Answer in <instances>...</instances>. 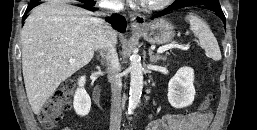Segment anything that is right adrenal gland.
Instances as JSON below:
<instances>
[{
  "label": "right adrenal gland",
  "mask_w": 257,
  "mask_h": 130,
  "mask_svg": "<svg viewBox=\"0 0 257 130\" xmlns=\"http://www.w3.org/2000/svg\"><path fill=\"white\" fill-rule=\"evenodd\" d=\"M100 56H101V58L98 57V59L100 60L101 64H102V65L108 64V59H107V57L105 56V53H101Z\"/></svg>",
  "instance_id": "right-adrenal-gland-1"
}]
</instances>
